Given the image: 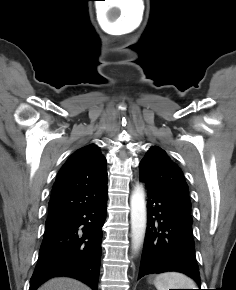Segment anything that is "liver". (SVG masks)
Masks as SVG:
<instances>
[{"label":"liver","instance_id":"6515ba94","mask_svg":"<svg viewBox=\"0 0 236 290\" xmlns=\"http://www.w3.org/2000/svg\"><path fill=\"white\" fill-rule=\"evenodd\" d=\"M38 290H90L86 285L72 278H53L44 283Z\"/></svg>","mask_w":236,"mask_h":290}]
</instances>
